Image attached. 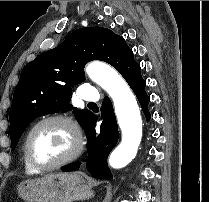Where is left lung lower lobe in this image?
Listing matches in <instances>:
<instances>
[{
    "label": "left lung lower lobe",
    "instance_id": "left-lung-lower-lobe-1",
    "mask_svg": "<svg viewBox=\"0 0 209 202\" xmlns=\"http://www.w3.org/2000/svg\"><path fill=\"white\" fill-rule=\"evenodd\" d=\"M125 80L136 94L147 121L150 119L148 111L149 96L145 92L146 81L140 73V66L137 64L124 76ZM101 115L103 121L100 126V134L96 135L95 124L97 117L94 116L88 124L85 133L88 138L87 162L88 172L98 179H112L111 170L107 164V158L111 150L115 147L118 141V126L113 111V106L108 97H105L102 102ZM80 163L66 166L62 171H77Z\"/></svg>",
    "mask_w": 209,
    "mask_h": 202
}]
</instances>
